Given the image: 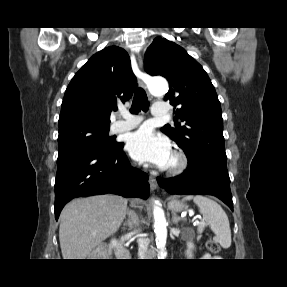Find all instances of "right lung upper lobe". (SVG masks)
Returning <instances> with one entry per match:
<instances>
[{
    "label": "right lung upper lobe",
    "instance_id": "obj_1",
    "mask_svg": "<svg viewBox=\"0 0 287 287\" xmlns=\"http://www.w3.org/2000/svg\"><path fill=\"white\" fill-rule=\"evenodd\" d=\"M137 80L128 54L117 46L94 54L74 75L63 98L59 127L89 122L110 125L117 102L132 96Z\"/></svg>",
    "mask_w": 287,
    "mask_h": 287
}]
</instances>
